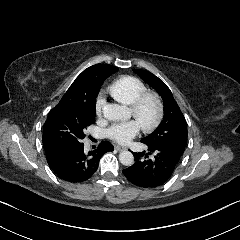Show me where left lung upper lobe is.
<instances>
[{"instance_id": "1", "label": "left lung upper lobe", "mask_w": 240, "mask_h": 240, "mask_svg": "<svg viewBox=\"0 0 240 240\" xmlns=\"http://www.w3.org/2000/svg\"><path fill=\"white\" fill-rule=\"evenodd\" d=\"M134 72L153 87L164 102L163 121L151 135L141 139V142L148 147H162L182 155L187 143V124L172 92L154 74L144 70Z\"/></svg>"}]
</instances>
